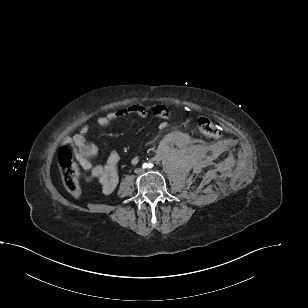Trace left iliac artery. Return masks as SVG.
Wrapping results in <instances>:
<instances>
[{"instance_id":"44dca946","label":"left iliac artery","mask_w":308,"mask_h":308,"mask_svg":"<svg viewBox=\"0 0 308 308\" xmlns=\"http://www.w3.org/2000/svg\"><path fill=\"white\" fill-rule=\"evenodd\" d=\"M147 167H148V168H152V167H153V164L149 163V164H147Z\"/></svg>"}]
</instances>
